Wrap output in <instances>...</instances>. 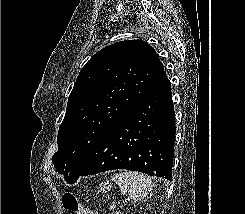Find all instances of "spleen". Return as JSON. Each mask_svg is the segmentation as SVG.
Returning <instances> with one entry per match:
<instances>
[{
	"mask_svg": "<svg viewBox=\"0 0 245 214\" xmlns=\"http://www.w3.org/2000/svg\"><path fill=\"white\" fill-rule=\"evenodd\" d=\"M112 181L118 184L124 195H128L134 201L144 199L152 190L151 179L139 172L122 171L115 173Z\"/></svg>",
	"mask_w": 245,
	"mask_h": 214,
	"instance_id": "obj_1",
	"label": "spleen"
}]
</instances>
